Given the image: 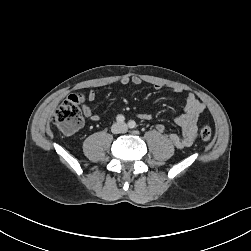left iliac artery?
Listing matches in <instances>:
<instances>
[{
	"instance_id": "44dca946",
	"label": "left iliac artery",
	"mask_w": 251,
	"mask_h": 251,
	"mask_svg": "<svg viewBox=\"0 0 251 251\" xmlns=\"http://www.w3.org/2000/svg\"><path fill=\"white\" fill-rule=\"evenodd\" d=\"M128 126H129V128H135L136 127V122L135 121H133V120H130L129 122H128Z\"/></svg>"
}]
</instances>
